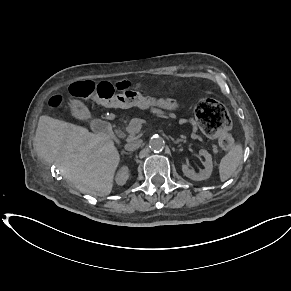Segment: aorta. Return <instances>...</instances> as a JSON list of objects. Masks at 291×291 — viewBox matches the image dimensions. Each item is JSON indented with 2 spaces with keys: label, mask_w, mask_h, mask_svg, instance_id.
<instances>
[{
  "label": "aorta",
  "mask_w": 291,
  "mask_h": 291,
  "mask_svg": "<svg viewBox=\"0 0 291 291\" xmlns=\"http://www.w3.org/2000/svg\"><path fill=\"white\" fill-rule=\"evenodd\" d=\"M165 146V141L160 136H154L149 141V147L152 151H162Z\"/></svg>",
  "instance_id": "obj_1"
}]
</instances>
